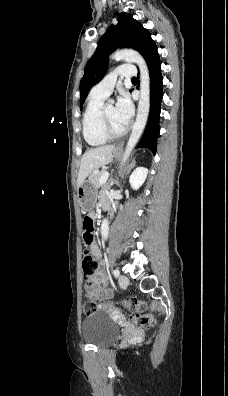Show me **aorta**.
<instances>
[{
    "label": "aorta",
    "mask_w": 228,
    "mask_h": 396,
    "mask_svg": "<svg viewBox=\"0 0 228 396\" xmlns=\"http://www.w3.org/2000/svg\"><path fill=\"white\" fill-rule=\"evenodd\" d=\"M111 58L116 61L135 63L139 67L140 71V99L138 102L137 116L131 135L126 145L125 153L122 160L123 164V162H125L129 157L131 151L141 137L148 119L150 110V76L144 58L135 50H119L114 52ZM108 234L109 223L107 219H104L101 224V236L104 240H107Z\"/></svg>",
    "instance_id": "aorta-1"
}]
</instances>
